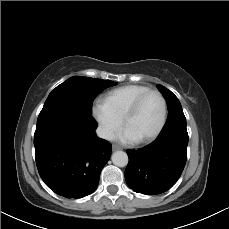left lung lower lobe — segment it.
I'll use <instances>...</instances> for the list:
<instances>
[{
  "label": "left lung lower lobe",
  "mask_w": 229,
  "mask_h": 229,
  "mask_svg": "<svg viewBox=\"0 0 229 229\" xmlns=\"http://www.w3.org/2000/svg\"><path fill=\"white\" fill-rule=\"evenodd\" d=\"M186 126L165 131L150 145L128 150L125 170L128 186L137 193L155 195L169 190L180 178L187 159Z\"/></svg>",
  "instance_id": "0a47b994"
}]
</instances>
